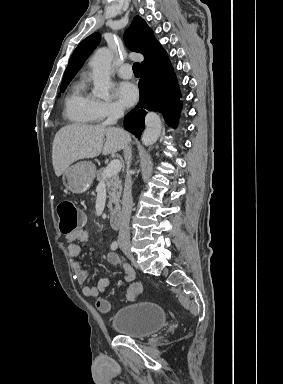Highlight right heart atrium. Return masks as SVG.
Listing matches in <instances>:
<instances>
[{
    "label": "right heart atrium",
    "mask_w": 283,
    "mask_h": 384,
    "mask_svg": "<svg viewBox=\"0 0 283 384\" xmlns=\"http://www.w3.org/2000/svg\"><path fill=\"white\" fill-rule=\"evenodd\" d=\"M95 111L97 121L104 122L117 117L122 112V108L115 101L96 100Z\"/></svg>",
    "instance_id": "1"
}]
</instances>
